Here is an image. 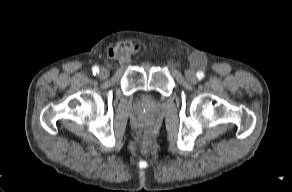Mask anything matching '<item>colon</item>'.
I'll return each mask as SVG.
<instances>
[{
    "label": "colon",
    "instance_id": "1",
    "mask_svg": "<svg viewBox=\"0 0 292 192\" xmlns=\"http://www.w3.org/2000/svg\"><path fill=\"white\" fill-rule=\"evenodd\" d=\"M121 48L124 49V50H128V51H135L136 50V47L133 44H126V45H123ZM144 132L145 133H149L150 132V130L148 129L147 126L145 127Z\"/></svg>",
    "mask_w": 292,
    "mask_h": 192
}]
</instances>
